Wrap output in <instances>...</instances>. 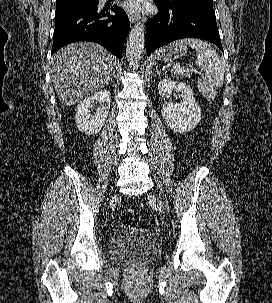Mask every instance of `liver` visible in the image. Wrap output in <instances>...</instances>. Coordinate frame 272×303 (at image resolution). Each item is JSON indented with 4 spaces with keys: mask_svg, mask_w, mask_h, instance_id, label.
Returning <instances> with one entry per match:
<instances>
[{
    "mask_svg": "<svg viewBox=\"0 0 272 303\" xmlns=\"http://www.w3.org/2000/svg\"><path fill=\"white\" fill-rule=\"evenodd\" d=\"M51 63L57 96L62 104L71 106L108 84L117 59L99 44L77 42L58 50Z\"/></svg>",
    "mask_w": 272,
    "mask_h": 303,
    "instance_id": "6515ba94",
    "label": "liver"
}]
</instances>
